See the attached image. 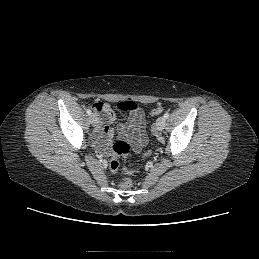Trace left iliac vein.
I'll return each mask as SVG.
<instances>
[{"label":"left iliac vein","mask_w":259,"mask_h":259,"mask_svg":"<svg viewBox=\"0 0 259 259\" xmlns=\"http://www.w3.org/2000/svg\"><path fill=\"white\" fill-rule=\"evenodd\" d=\"M166 119L164 117H159L156 121V129L162 131L165 128Z\"/></svg>","instance_id":"obj_1"}]
</instances>
